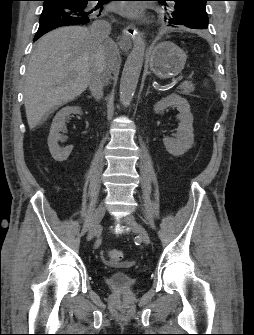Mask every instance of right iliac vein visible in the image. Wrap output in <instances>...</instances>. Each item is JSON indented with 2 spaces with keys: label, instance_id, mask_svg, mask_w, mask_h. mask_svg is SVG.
I'll return each mask as SVG.
<instances>
[{
  "label": "right iliac vein",
  "instance_id": "1",
  "mask_svg": "<svg viewBox=\"0 0 254 335\" xmlns=\"http://www.w3.org/2000/svg\"><path fill=\"white\" fill-rule=\"evenodd\" d=\"M104 215H105V208H104V206L100 205L96 209L95 214L93 216L91 227H90V229L88 231V234H87V237H86L87 242L91 241L94 237H96L100 233V231H101L100 223H101Z\"/></svg>",
  "mask_w": 254,
  "mask_h": 335
}]
</instances>
